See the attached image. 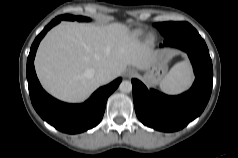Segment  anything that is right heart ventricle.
I'll return each instance as SVG.
<instances>
[{
	"label": "right heart ventricle",
	"instance_id": "e07e8e85",
	"mask_svg": "<svg viewBox=\"0 0 238 158\" xmlns=\"http://www.w3.org/2000/svg\"><path fill=\"white\" fill-rule=\"evenodd\" d=\"M136 34H137V35H140V34H141V32H140V31H138V32H136Z\"/></svg>",
	"mask_w": 238,
	"mask_h": 158
}]
</instances>
